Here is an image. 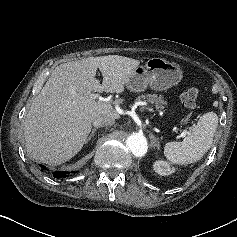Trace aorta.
Returning <instances> with one entry per match:
<instances>
[{
	"label": "aorta",
	"mask_w": 237,
	"mask_h": 237,
	"mask_svg": "<svg viewBox=\"0 0 237 237\" xmlns=\"http://www.w3.org/2000/svg\"><path fill=\"white\" fill-rule=\"evenodd\" d=\"M126 144L135 156H143L147 151V141L141 134H132L127 138Z\"/></svg>",
	"instance_id": "obj_1"
}]
</instances>
